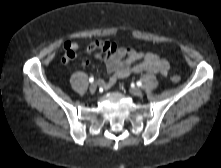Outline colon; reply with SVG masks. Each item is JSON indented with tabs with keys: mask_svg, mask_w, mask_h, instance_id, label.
Masks as SVG:
<instances>
[{
	"mask_svg": "<svg viewBox=\"0 0 221 168\" xmlns=\"http://www.w3.org/2000/svg\"><path fill=\"white\" fill-rule=\"evenodd\" d=\"M170 79L172 82L178 83L180 81V76L174 74L170 76Z\"/></svg>",
	"mask_w": 221,
	"mask_h": 168,
	"instance_id": "5ec220e1",
	"label": "colon"
}]
</instances>
